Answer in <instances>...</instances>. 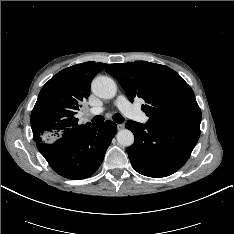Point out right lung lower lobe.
Masks as SVG:
<instances>
[{
	"instance_id": "1",
	"label": "right lung lower lobe",
	"mask_w": 234,
	"mask_h": 234,
	"mask_svg": "<svg viewBox=\"0 0 234 234\" xmlns=\"http://www.w3.org/2000/svg\"><path fill=\"white\" fill-rule=\"evenodd\" d=\"M116 132V124L107 120L36 146L56 173L84 179L97 171Z\"/></svg>"
}]
</instances>
